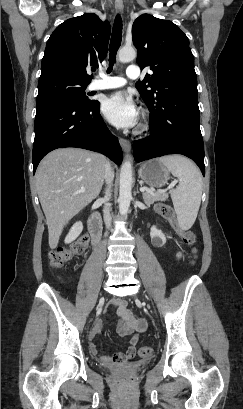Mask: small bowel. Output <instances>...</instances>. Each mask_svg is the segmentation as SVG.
<instances>
[{
	"label": "small bowel",
	"instance_id": "1",
	"mask_svg": "<svg viewBox=\"0 0 243 409\" xmlns=\"http://www.w3.org/2000/svg\"><path fill=\"white\" fill-rule=\"evenodd\" d=\"M180 257V253L177 254ZM112 306L116 310V315L119 318V322L116 331L120 337H127L135 332L129 340V346L124 354L103 356L99 355L98 347L94 343L93 339L103 330L102 322H97L90 334L89 350L91 354L97 356L98 360L105 365L121 364L136 355V345L139 340L138 334L146 329V322L141 318H136L127 309V302L122 299H117L112 302Z\"/></svg>",
	"mask_w": 243,
	"mask_h": 409
}]
</instances>
